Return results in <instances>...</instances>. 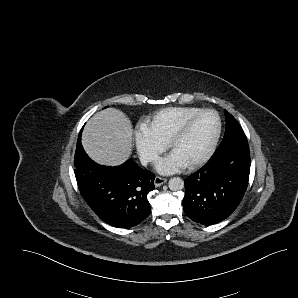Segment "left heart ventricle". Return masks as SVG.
I'll use <instances>...</instances> for the list:
<instances>
[{"instance_id": "obj_1", "label": "left heart ventricle", "mask_w": 298, "mask_h": 298, "mask_svg": "<svg viewBox=\"0 0 298 298\" xmlns=\"http://www.w3.org/2000/svg\"><path fill=\"white\" fill-rule=\"evenodd\" d=\"M215 129V119L212 115L205 114L198 117L177 139L170 154L188 165L203 153L212 139Z\"/></svg>"}]
</instances>
